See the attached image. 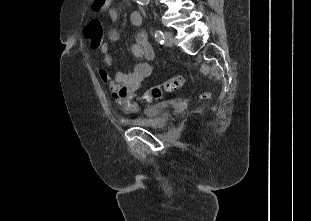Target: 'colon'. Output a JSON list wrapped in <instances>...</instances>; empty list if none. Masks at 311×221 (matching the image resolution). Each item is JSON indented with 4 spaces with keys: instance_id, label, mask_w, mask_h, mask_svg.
I'll return each instance as SVG.
<instances>
[{
    "instance_id": "5ec220e1",
    "label": "colon",
    "mask_w": 311,
    "mask_h": 221,
    "mask_svg": "<svg viewBox=\"0 0 311 221\" xmlns=\"http://www.w3.org/2000/svg\"><path fill=\"white\" fill-rule=\"evenodd\" d=\"M88 37L90 45L93 49H98L101 46L103 39V25L100 19L93 18L87 24ZM187 83L185 74L175 75L169 78L163 84L155 85L145 90L138 98L145 102L151 103L154 100L161 99L165 93H173ZM206 95H208L206 93Z\"/></svg>"
}]
</instances>
